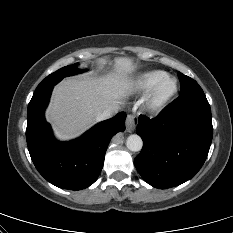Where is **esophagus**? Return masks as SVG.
I'll list each match as a JSON object with an SVG mask.
<instances>
[{"label":"esophagus","mask_w":233,"mask_h":233,"mask_svg":"<svg viewBox=\"0 0 233 233\" xmlns=\"http://www.w3.org/2000/svg\"><path fill=\"white\" fill-rule=\"evenodd\" d=\"M138 123V118L135 115L129 114L126 118V130L128 132L134 131Z\"/></svg>","instance_id":"esophagus-1"}]
</instances>
